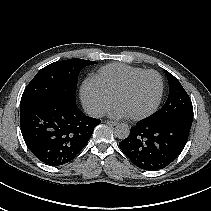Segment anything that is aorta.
Here are the masks:
<instances>
[{
	"instance_id": "obj_1",
	"label": "aorta",
	"mask_w": 211,
	"mask_h": 211,
	"mask_svg": "<svg viewBox=\"0 0 211 211\" xmlns=\"http://www.w3.org/2000/svg\"><path fill=\"white\" fill-rule=\"evenodd\" d=\"M129 133H130V128L127 124L124 123L118 124L114 130L115 137L121 140L127 138L129 136Z\"/></svg>"
}]
</instances>
